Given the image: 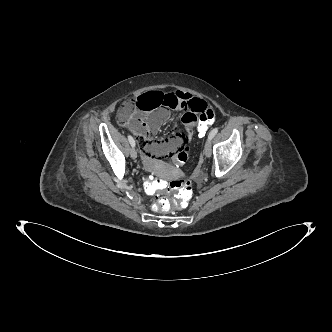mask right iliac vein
I'll list each match as a JSON object with an SVG mask.
<instances>
[{"label":"right iliac vein","mask_w":332,"mask_h":332,"mask_svg":"<svg viewBox=\"0 0 332 332\" xmlns=\"http://www.w3.org/2000/svg\"><path fill=\"white\" fill-rule=\"evenodd\" d=\"M130 156L132 159H136L137 158V151L135 149V147H132L130 150Z\"/></svg>","instance_id":"63e3f726"}]
</instances>
